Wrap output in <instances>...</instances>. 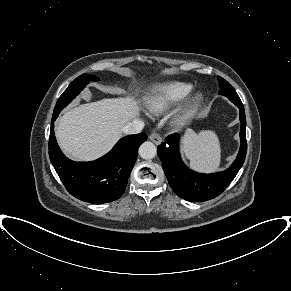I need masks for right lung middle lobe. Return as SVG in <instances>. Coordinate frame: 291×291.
<instances>
[{"mask_svg": "<svg viewBox=\"0 0 291 291\" xmlns=\"http://www.w3.org/2000/svg\"><path fill=\"white\" fill-rule=\"evenodd\" d=\"M99 77L91 74H82L63 92L54 108L52 119L57 118L60 111L74 99L89 81H98Z\"/></svg>", "mask_w": 291, "mask_h": 291, "instance_id": "1", "label": "right lung middle lobe"}]
</instances>
